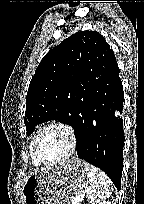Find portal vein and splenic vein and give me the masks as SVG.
<instances>
[{
    "mask_svg": "<svg viewBox=\"0 0 144 204\" xmlns=\"http://www.w3.org/2000/svg\"><path fill=\"white\" fill-rule=\"evenodd\" d=\"M83 200V196H79L76 197L75 199L72 200V204H80L79 202H81Z\"/></svg>",
    "mask_w": 144,
    "mask_h": 204,
    "instance_id": "obj_1",
    "label": "portal vein and splenic vein"
}]
</instances>
